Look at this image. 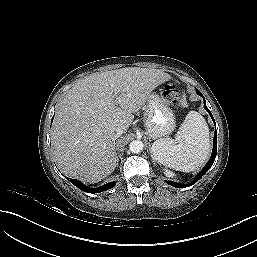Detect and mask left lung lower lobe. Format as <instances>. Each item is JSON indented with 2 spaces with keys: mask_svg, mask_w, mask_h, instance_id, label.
Instances as JSON below:
<instances>
[{
  "mask_svg": "<svg viewBox=\"0 0 257 257\" xmlns=\"http://www.w3.org/2000/svg\"><path fill=\"white\" fill-rule=\"evenodd\" d=\"M196 92L199 96L203 97V100H204V108L205 110L210 114L214 124H215V133H214V144H213V151H212V154H211V157L209 159V161L207 162V164L204 166V168L197 174V176L195 177V179L189 183V184H180V183H176V182H173V181H166V183H168L169 185L173 186V187H176V188H181V187H188V186H191L193 184H195L208 170L209 168L213 165L214 163V160L216 158V154H217V131H216V123H215V120L211 114V111L207 108L206 106V102H205V98L204 96L201 94V92L196 89Z\"/></svg>",
  "mask_w": 257,
  "mask_h": 257,
  "instance_id": "1",
  "label": "left lung lower lobe"
}]
</instances>
